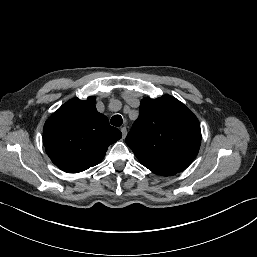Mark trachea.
Wrapping results in <instances>:
<instances>
[{
    "instance_id": "3493384b",
    "label": "trachea",
    "mask_w": 257,
    "mask_h": 257,
    "mask_svg": "<svg viewBox=\"0 0 257 257\" xmlns=\"http://www.w3.org/2000/svg\"><path fill=\"white\" fill-rule=\"evenodd\" d=\"M111 124L113 126H116V127H120L123 123V119L120 115H114L112 118H111Z\"/></svg>"
}]
</instances>
